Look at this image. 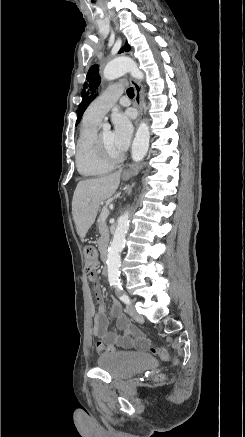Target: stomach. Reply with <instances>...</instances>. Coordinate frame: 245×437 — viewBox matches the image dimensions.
Segmentation results:
<instances>
[{"label":"stomach","instance_id":"0dacf381","mask_svg":"<svg viewBox=\"0 0 245 437\" xmlns=\"http://www.w3.org/2000/svg\"><path fill=\"white\" fill-rule=\"evenodd\" d=\"M136 173H137V169L127 170L123 174V179L128 180L131 176L135 175Z\"/></svg>","mask_w":245,"mask_h":437}]
</instances>
